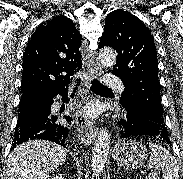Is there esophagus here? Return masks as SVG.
I'll list each match as a JSON object with an SVG mask.
<instances>
[{
	"label": "esophagus",
	"instance_id": "34e87169",
	"mask_svg": "<svg viewBox=\"0 0 183 179\" xmlns=\"http://www.w3.org/2000/svg\"><path fill=\"white\" fill-rule=\"evenodd\" d=\"M84 42V46H86ZM85 73L88 79L100 74L102 67L98 62L94 52L87 48L83 51ZM88 91V90H87ZM76 124L79 140L84 144H90L98 132L97 125L94 121L84 118L80 112L76 113Z\"/></svg>",
	"mask_w": 183,
	"mask_h": 179
}]
</instances>
